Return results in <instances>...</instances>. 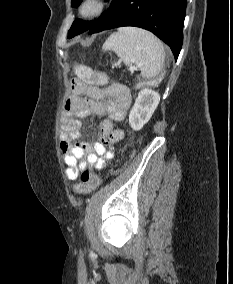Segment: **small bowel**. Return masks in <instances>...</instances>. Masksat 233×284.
I'll return each instance as SVG.
<instances>
[{
  "instance_id": "1",
  "label": "small bowel",
  "mask_w": 233,
  "mask_h": 284,
  "mask_svg": "<svg viewBox=\"0 0 233 284\" xmlns=\"http://www.w3.org/2000/svg\"><path fill=\"white\" fill-rule=\"evenodd\" d=\"M130 103L131 94L124 85L99 88L81 79L71 80L63 108L66 124L60 146L68 179L75 180L89 165L102 169L113 158L114 144L123 137V132L114 128L113 122L124 118ZM90 114L108 116L100 124V141L72 143L80 137V119Z\"/></svg>"
}]
</instances>
